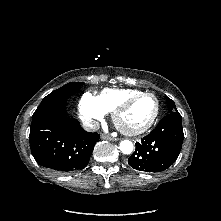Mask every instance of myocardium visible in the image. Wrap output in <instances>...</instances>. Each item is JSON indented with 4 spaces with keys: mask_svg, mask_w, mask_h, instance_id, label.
Instances as JSON below:
<instances>
[{
    "mask_svg": "<svg viewBox=\"0 0 221 221\" xmlns=\"http://www.w3.org/2000/svg\"><path fill=\"white\" fill-rule=\"evenodd\" d=\"M145 96H152L155 99L156 102V108L153 117L150 119V121L144 125L143 127L136 129V130H128L121 126L119 123V117L120 115L129 108L130 105H132L136 100L139 98L145 97ZM160 101L158 97L151 92H141L136 95H133L127 99H125L123 102H121L112 112V121L116 128L122 132L123 134L127 136H138L145 132H147L157 121L159 114H160Z\"/></svg>",
    "mask_w": 221,
    "mask_h": 221,
    "instance_id": "f54148a6",
    "label": "myocardium"
}]
</instances>
